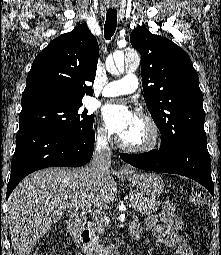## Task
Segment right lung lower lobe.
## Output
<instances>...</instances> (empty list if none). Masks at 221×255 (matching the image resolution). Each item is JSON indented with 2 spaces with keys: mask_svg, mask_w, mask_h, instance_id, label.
Wrapping results in <instances>:
<instances>
[{
  "mask_svg": "<svg viewBox=\"0 0 221 255\" xmlns=\"http://www.w3.org/2000/svg\"><path fill=\"white\" fill-rule=\"evenodd\" d=\"M94 141V131L84 136H72L43 127L20 126L6 197L25 176L36 170L86 164L93 155Z\"/></svg>",
  "mask_w": 221,
  "mask_h": 255,
  "instance_id": "right-lung-lower-lobe-1",
  "label": "right lung lower lobe"
}]
</instances>
